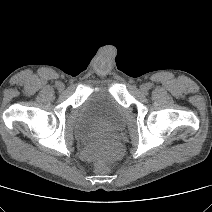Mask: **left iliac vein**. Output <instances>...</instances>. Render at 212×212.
<instances>
[{
  "label": "left iliac vein",
  "instance_id": "4c4485c4",
  "mask_svg": "<svg viewBox=\"0 0 212 212\" xmlns=\"http://www.w3.org/2000/svg\"><path fill=\"white\" fill-rule=\"evenodd\" d=\"M141 91H142V92H146V91H147V87H146L145 85H143V86L141 87Z\"/></svg>",
  "mask_w": 212,
  "mask_h": 212
}]
</instances>
